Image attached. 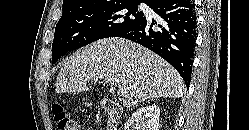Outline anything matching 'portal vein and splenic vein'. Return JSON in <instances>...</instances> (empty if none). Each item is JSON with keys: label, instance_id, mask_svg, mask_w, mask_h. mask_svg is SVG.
Wrapping results in <instances>:
<instances>
[{"label": "portal vein and splenic vein", "instance_id": "portal-vein-and-splenic-vein-1", "mask_svg": "<svg viewBox=\"0 0 249 130\" xmlns=\"http://www.w3.org/2000/svg\"><path fill=\"white\" fill-rule=\"evenodd\" d=\"M94 82H97L98 79H94ZM126 93V89L124 87H119L117 90V95L118 96H124V94Z\"/></svg>", "mask_w": 249, "mask_h": 130}]
</instances>
